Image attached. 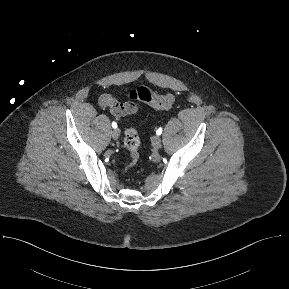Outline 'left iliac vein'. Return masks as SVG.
Here are the masks:
<instances>
[{
  "label": "left iliac vein",
  "mask_w": 289,
  "mask_h": 289,
  "mask_svg": "<svg viewBox=\"0 0 289 289\" xmlns=\"http://www.w3.org/2000/svg\"><path fill=\"white\" fill-rule=\"evenodd\" d=\"M151 143H152V147L154 148V150L160 149L162 142H161V138L159 137V135L153 136Z\"/></svg>",
  "instance_id": "left-iliac-vein-1"
}]
</instances>
